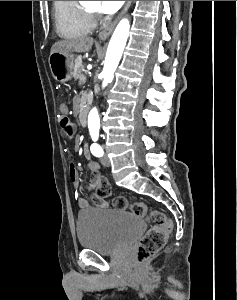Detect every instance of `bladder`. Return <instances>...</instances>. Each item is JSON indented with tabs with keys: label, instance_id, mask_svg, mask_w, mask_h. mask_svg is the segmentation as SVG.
Listing matches in <instances>:
<instances>
[{
	"label": "bladder",
	"instance_id": "1",
	"mask_svg": "<svg viewBox=\"0 0 237 300\" xmlns=\"http://www.w3.org/2000/svg\"><path fill=\"white\" fill-rule=\"evenodd\" d=\"M144 227L141 217L127 211L88 210L78 217L76 236L82 248L110 255L132 245Z\"/></svg>",
	"mask_w": 237,
	"mask_h": 300
}]
</instances>
